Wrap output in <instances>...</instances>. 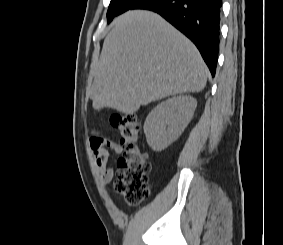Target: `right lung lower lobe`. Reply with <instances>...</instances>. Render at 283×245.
Masks as SVG:
<instances>
[{"mask_svg":"<svg viewBox=\"0 0 283 245\" xmlns=\"http://www.w3.org/2000/svg\"><path fill=\"white\" fill-rule=\"evenodd\" d=\"M222 0H141L132 9L157 12L199 49L212 76L215 75Z\"/></svg>","mask_w":283,"mask_h":245,"instance_id":"right-lung-lower-lobe-1","label":"right lung lower lobe"}]
</instances>
